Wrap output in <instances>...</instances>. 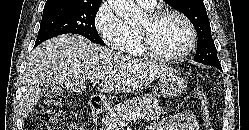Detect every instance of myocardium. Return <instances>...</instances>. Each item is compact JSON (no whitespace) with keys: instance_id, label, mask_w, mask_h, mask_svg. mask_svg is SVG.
Listing matches in <instances>:
<instances>
[{"instance_id":"myocardium-1","label":"myocardium","mask_w":249,"mask_h":130,"mask_svg":"<svg viewBox=\"0 0 249 130\" xmlns=\"http://www.w3.org/2000/svg\"><path fill=\"white\" fill-rule=\"evenodd\" d=\"M175 16L181 19L188 28L189 42L186 48L178 54L166 55L160 52L154 45L152 39V28L163 17ZM140 40L146 55L163 62H177L186 58L195 48L197 32L192 21L182 12L174 9H157L147 13L145 22L138 26Z\"/></svg>"}]
</instances>
